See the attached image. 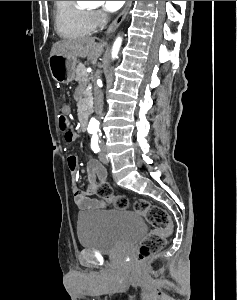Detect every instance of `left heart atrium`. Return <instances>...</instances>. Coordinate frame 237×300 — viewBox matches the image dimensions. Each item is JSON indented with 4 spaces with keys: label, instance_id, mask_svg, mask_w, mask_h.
Segmentation results:
<instances>
[{
    "label": "left heart atrium",
    "instance_id": "obj_1",
    "mask_svg": "<svg viewBox=\"0 0 237 300\" xmlns=\"http://www.w3.org/2000/svg\"><path fill=\"white\" fill-rule=\"evenodd\" d=\"M125 1H104V10L107 12H116L118 11Z\"/></svg>",
    "mask_w": 237,
    "mask_h": 300
}]
</instances>
